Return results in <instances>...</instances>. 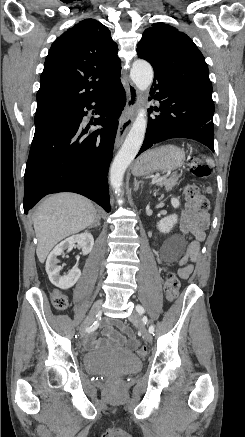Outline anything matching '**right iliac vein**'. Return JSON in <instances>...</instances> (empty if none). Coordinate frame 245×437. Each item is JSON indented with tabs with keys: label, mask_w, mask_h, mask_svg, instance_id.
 Masks as SVG:
<instances>
[{
	"label": "right iliac vein",
	"mask_w": 245,
	"mask_h": 437,
	"mask_svg": "<svg viewBox=\"0 0 245 437\" xmlns=\"http://www.w3.org/2000/svg\"><path fill=\"white\" fill-rule=\"evenodd\" d=\"M102 303H103V300L100 299V300H97L93 304V306H92V308H91V310H90L86 320L83 322V324L80 327V332L81 333H83L84 330L86 329V327H88L93 322L95 316L97 315V313L99 312V310H100V308L102 306Z\"/></svg>",
	"instance_id": "1"
}]
</instances>
